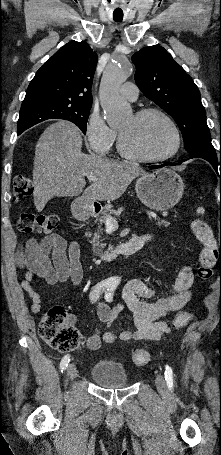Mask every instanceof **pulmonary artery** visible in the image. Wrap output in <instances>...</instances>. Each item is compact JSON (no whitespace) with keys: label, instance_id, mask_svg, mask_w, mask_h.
I'll use <instances>...</instances> for the list:
<instances>
[{"label":"pulmonary artery","instance_id":"pulmonary-artery-1","mask_svg":"<svg viewBox=\"0 0 221 455\" xmlns=\"http://www.w3.org/2000/svg\"><path fill=\"white\" fill-rule=\"evenodd\" d=\"M121 95L130 101H135L138 98L139 90L132 82H126L121 86Z\"/></svg>","mask_w":221,"mask_h":455}]
</instances>
